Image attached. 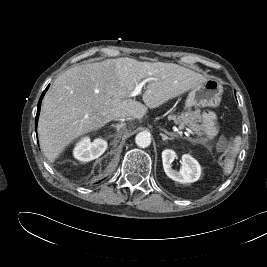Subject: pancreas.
<instances>
[{
  "label": "pancreas",
  "mask_w": 267,
  "mask_h": 267,
  "mask_svg": "<svg viewBox=\"0 0 267 267\" xmlns=\"http://www.w3.org/2000/svg\"><path fill=\"white\" fill-rule=\"evenodd\" d=\"M198 114V112L189 111L181 113L180 115H171L170 119H172L176 124H179L180 126H188L198 135H203V128L198 123Z\"/></svg>",
  "instance_id": "cf45deb5"
}]
</instances>
